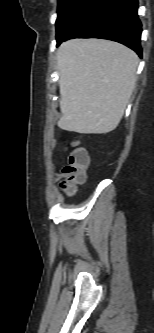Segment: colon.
<instances>
[{"label":"colon","mask_w":154,"mask_h":333,"mask_svg":"<svg viewBox=\"0 0 154 333\" xmlns=\"http://www.w3.org/2000/svg\"><path fill=\"white\" fill-rule=\"evenodd\" d=\"M87 167L88 155L86 151L76 147V143L72 142L67 164L62 170V179L59 183L61 190L69 195L73 194L77 185L85 181Z\"/></svg>","instance_id":"obj_1"}]
</instances>
